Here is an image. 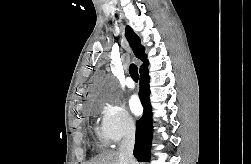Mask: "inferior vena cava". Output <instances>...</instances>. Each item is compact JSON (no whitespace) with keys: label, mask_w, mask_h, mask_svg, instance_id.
Segmentation results:
<instances>
[{"label":"inferior vena cava","mask_w":251,"mask_h":164,"mask_svg":"<svg viewBox=\"0 0 251 164\" xmlns=\"http://www.w3.org/2000/svg\"><path fill=\"white\" fill-rule=\"evenodd\" d=\"M135 144V124L130 121L127 125L124 138L119 147V156L122 164H135L133 149Z\"/></svg>","instance_id":"1"}]
</instances>
